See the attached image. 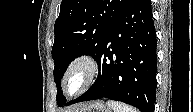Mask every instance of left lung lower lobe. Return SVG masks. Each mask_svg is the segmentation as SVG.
<instances>
[{"label": "left lung lower lobe", "mask_w": 193, "mask_h": 112, "mask_svg": "<svg viewBox=\"0 0 193 112\" xmlns=\"http://www.w3.org/2000/svg\"><path fill=\"white\" fill-rule=\"evenodd\" d=\"M156 44L151 0H133L110 29L95 58L99 67L95 83L64 106L107 98L141 112H154Z\"/></svg>", "instance_id": "0a47b994"}]
</instances>
